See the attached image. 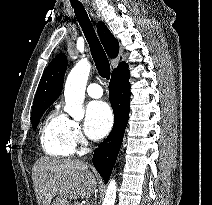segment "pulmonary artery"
I'll use <instances>...</instances> for the list:
<instances>
[{"mask_svg": "<svg viewBox=\"0 0 212 205\" xmlns=\"http://www.w3.org/2000/svg\"><path fill=\"white\" fill-rule=\"evenodd\" d=\"M87 93L92 98H100L103 95V90L98 83H90L87 87Z\"/></svg>", "mask_w": 212, "mask_h": 205, "instance_id": "pulmonary-artery-1", "label": "pulmonary artery"}]
</instances>
